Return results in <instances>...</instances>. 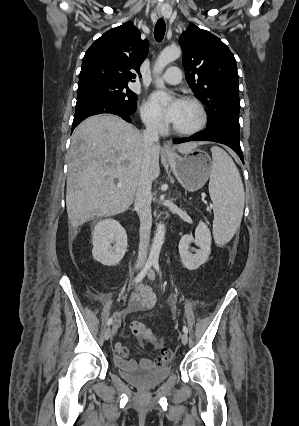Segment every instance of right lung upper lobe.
I'll list each match as a JSON object with an SVG mask.
<instances>
[{
	"label": "right lung upper lobe",
	"instance_id": "right-lung-upper-lobe-1",
	"mask_svg": "<svg viewBox=\"0 0 299 426\" xmlns=\"http://www.w3.org/2000/svg\"><path fill=\"white\" fill-rule=\"evenodd\" d=\"M148 40L132 22L113 28L98 38L87 50L79 74V85L91 83L127 84L139 73L147 56Z\"/></svg>",
	"mask_w": 299,
	"mask_h": 426
}]
</instances>
